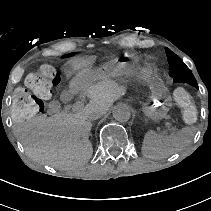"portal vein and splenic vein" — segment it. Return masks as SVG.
<instances>
[{
	"label": "portal vein and splenic vein",
	"instance_id": "1",
	"mask_svg": "<svg viewBox=\"0 0 211 211\" xmlns=\"http://www.w3.org/2000/svg\"><path fill=\"white\" fill-rule=\"evenodd\" d=\"M166 126L167 127H171L172 126V123H167Z\"/></svg>",
	"mask_w": 211,
	"mask_h": 211
}]
</instances>
